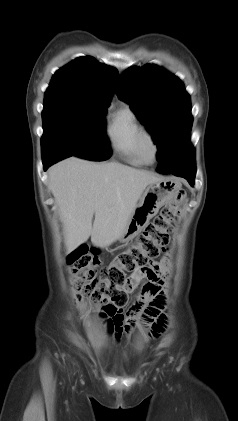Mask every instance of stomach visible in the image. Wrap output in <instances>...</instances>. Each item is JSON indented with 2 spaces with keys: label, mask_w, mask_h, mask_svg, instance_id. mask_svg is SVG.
Instances as JSON below:
<instances>
[{
  "label": "stomach",
  "mask_w": 238,
  "mask_h": 421,
  "mask_svg": "<svg viewBox=\"0 0 238 421\" xmlns=\"http://www.w3.org/2000/svg\"><path fill=\"white\" fill-rule=\"evenodd\" d=\"M179 188V184L170 178L149 184L130 214L118 239L121 242L133 240L147 226L150 219L158 213L159 209L172 200Z\"/></svg>",
  "instance_id": "0dacf381"
}]
</instances>
